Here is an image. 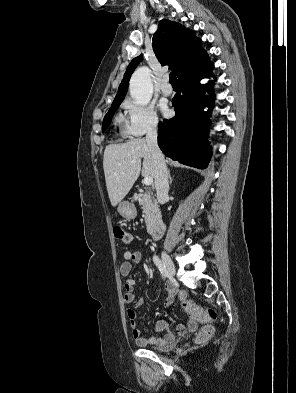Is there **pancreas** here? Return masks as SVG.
I'll list each match as a JSON object with an SVG mask.
<instances>
[{"instance_id": "1", "label": "pancreas", "mask_w": 296, "mask_h": 393, "mask_svg": "<svg viewBox=\"0 0 296 393\" xmlns=\"http://www.w3.org/2000/svg\"><path fill=\"white\" fill-rule=\"evenodd\" d=\"M139 205L142 206L141 208L143 209L147 231L150 232L159 216L157 203L149 195L144 194L142 198L139 199Z\"/></svg>"}]
</instances>
